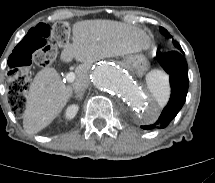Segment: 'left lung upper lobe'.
I'll list each match as a JSON object with an SVG mask.
<instances>
[{"mask_svg": "<svg viewBox=\"0 0 215 183\" xmlns=\"http://www.w3.org/2000/svg\"><path fill=\"white\" fill-rule=\"evenodd\" d=\"M160 32L164 35V36H166V37H168V38H171V35L169 34V32L166 30V29H164V28H160ZM173 43H174V46L180 51V50H182V48H181V46L176 42H174L173 41Z\"/></svg>", "mask_w": 215, "mask_h": 183, "instance_id": "5c2ea615", "label": "left lung upper lobe"}]
</instances>
